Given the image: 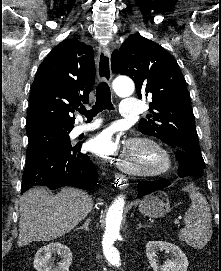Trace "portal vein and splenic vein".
I'll return each mask as SVG.
<instances>
[{"mask_svg":"<svg viewBox=\"0 0 221 271\" xmlns=\"http://www.w3.org/2000/svg\"><path fill=\"white\" fill-rule=\"evenodd\" d=\"M175 223H179V219H175Z\"/></svg>","mask_w":221,"mask_h":271,"instance_id":"18ae733b","label":"portal vein and splenic vein"}]
</instances>
